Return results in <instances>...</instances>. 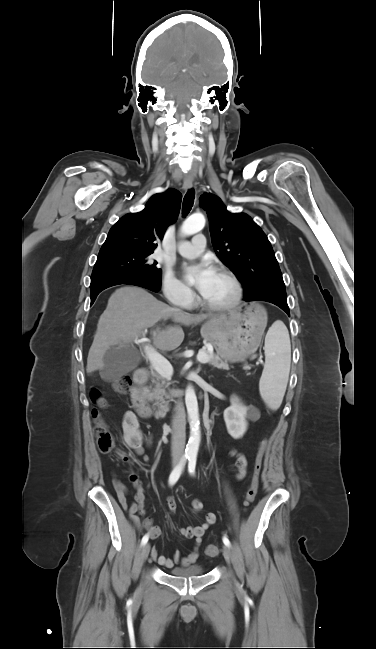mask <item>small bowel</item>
<instances>
[{
    "mask_svg": "<svg viewBox=\"0 0 376 649\" xmlns=\"http://www.w3.org/2000/svg\"><path fill=\"white\" fill-rule=\"evenodd\" d=\"M254 410V409H253ZM122 439L127 447H129L135 454L140 455L143 453V441L144 433L141 428L140 420L136 413L133 411H127L124 414L122 421ZM236 477L238 480L244 478L247 470V460L246 458L238 454L236 458ZM129 481L132 483L133 487L136 490L134 495V501L128 502V488L124 483L119 479L113 478L112 484L115 490L117 500L124 511L127 512L129 518L135 523V525H140V520L137 514L144 513V503H145V494L142 486V482L139 476L134 473H129ZM166 508L170 513H174L176 510V502L172 497L166 499ZM192 510L195 513H199L203 509V504L199 500H193ZM217 517L214 513L209 512L205 515L204 521L195 527H183L180 529V534L188 539L193 540V548L191 552L186 556L182 557L179 550H175L173 557L168 558L159 554L158 550L153 548L151 550L152 559L157 562L160 566L165 568H172L176 564L181 566H189L190 564L196 562L199 557V547L202 543L203 536L206 531L215 524ZM148 534L152 539H157L161 535V529L158 526L153 525L150 519H146L143 523Z\"/></svg>",
    "mask_w": 376,
    "mask_h": 649,
    "instance_id": "1",
    "label": "small bowel"
}]
</instances>
